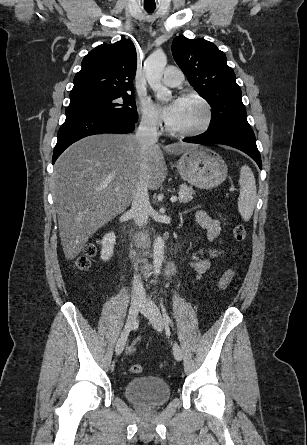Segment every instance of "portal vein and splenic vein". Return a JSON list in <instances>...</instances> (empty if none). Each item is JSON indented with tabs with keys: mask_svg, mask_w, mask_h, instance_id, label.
I'll return each instance as SVG.
<instances>
[{
	"mask_svg": "<svg viewBox=\"0 0 307 445\" xmlns=\"http://www.w3.org/2000/svg\"><path fill=\"white\" fill-rule=\"evenodd\" d=\"M115 190H119V188H115ZM170 200L171 202H175V200H177V196H171Z\"/></svg>",
	"mask_w": 307,
	"mask_h": 445,
	"instance_id": "obj_1",
	"label": "portal vein and splenic vein"
}]
</instances>
